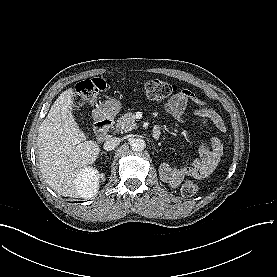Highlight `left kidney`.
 Instances as JSON below:
<instances>
[{
  "instance_id": "5707ae66",
  "label": "left kidney",
  "mask_w": 277,
  "mask_h": 277,
  "mask_svg": "<svg viewBox=\"0 0 277 277\" xmlns=\"http://www.w3.org/2000/svg\"><path fill=\"white\" fill-rule=\"evenodd\" d=\"M160 178L167 183L177 184L181 181L183 174L180 171H172L166 163H161L159 167Z\"/></svg>"
}]
</instances>
